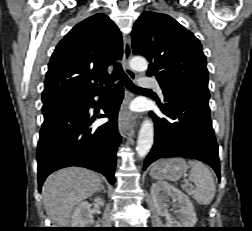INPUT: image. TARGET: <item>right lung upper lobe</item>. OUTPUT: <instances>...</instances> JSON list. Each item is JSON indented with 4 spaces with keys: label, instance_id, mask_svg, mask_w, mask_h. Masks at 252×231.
Here are the masks:
<instances>
[{
    "label": "right lung upper lobe",
    "instance_id": "obj_1",
    "mask_svg": "<svg viewBox=\"0 0 252 231\" xmlns=\"http://www.w3.org/2000/svg\"><path fill=\"white\" fill-rule=\"evenodd\" d=\"M121 56L122 37L112 20L103 13L85 19L56 46L42 101L100 91L102 82L109 77L107 67Z\"/></svg>",
    "mask_w": 252,
    "mask_h": 231
}]
</instances>
